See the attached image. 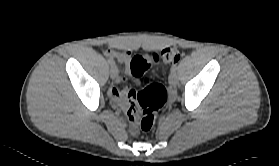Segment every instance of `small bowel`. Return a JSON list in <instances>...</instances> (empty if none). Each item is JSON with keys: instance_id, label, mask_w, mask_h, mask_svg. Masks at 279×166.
<instances>
[{"instance_id": "obj_1", "label": "small bowel", "mask_w": 279, "mask_h": 166, "mask_svg": "<svg viewBox=\"0 0 279 166\" xmlns=\"http://www.w3.org/2000/svg\"><path fill=\"white\" fill-rule=\"evenodd\" d=\"M106 55L109 56L111 59L114 58L118 62L126 64H129L131 59V53L129 51H116L113 49H108L106 51ZM119 82L120 79H117L116 83L110 87L109 95L116 106L126 110L128 118L132 123H134L136 113L139 110V104L137 103L138 94L132 88L121 90L118 87ZM125 96L128 98V100L125 99ZM132 131L133 133L136 132L134 124L132 127Z\"/></svg>"}]
</instances>
